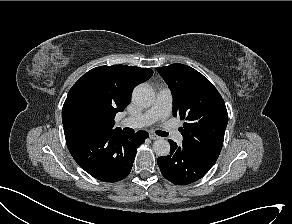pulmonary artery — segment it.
Returning a JSON list of instances; mask_svg holds the SVG:
<instances>
[{
    "label": "pulmonary artery",
    "instance_id": "obj_1",
    "mask_svg": "<svg viewBox=\"0 0 292 224\" xmlns=\"http://www.w3.org/2000/svg\"><path fill=\"white\" fill-rule=\"evenodd\" d=\"M172 101L173 97L171 91L167 88L161 89L158 91L155 101L150 108L138 116L123 118L121 120V125L131 128H142L158 120L164 121L171 112ZM172 134L175 140H181L179 133L172 131Z\"/></svg>",
    "mask_w": 292,
    "mask_h": 224
}]
</instances>
